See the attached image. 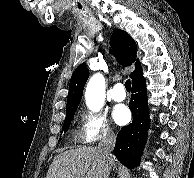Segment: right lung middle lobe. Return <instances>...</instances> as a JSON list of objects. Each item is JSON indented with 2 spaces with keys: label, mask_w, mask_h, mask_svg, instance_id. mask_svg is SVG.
Masks as SVG:
<instances>
[{
  "label": "right lung middle lobe",
  "mask_w": 194,
  "mask_h": 178,
  "mask_svg": "<svg viewBox=\"0 0 194 178\" xmlns=\"http://www.w3.org/2000/svg\"><path fill=\"white\" fill-rule=\"evenodd\" d=\"M75 111L76 110L66 113V117H65V121H64V125H63L64 132H66L68 130V127H69L70 122H71V120H72V118L74 116Z\"/></svg>",
  "instance_id": "dd1d6c3e"
}]
</instances>
